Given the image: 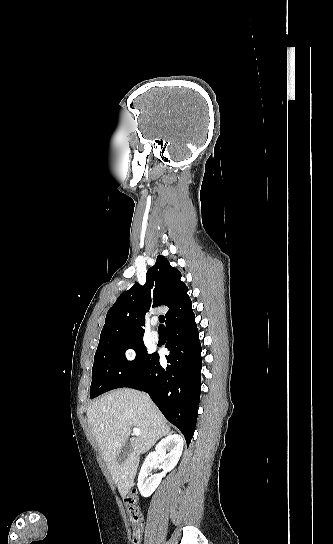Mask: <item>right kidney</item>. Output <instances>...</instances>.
<instances>
[{"mask_svg": "<svg viewBox=\"0 0 333 544\" xmlns=\"http://www.w3.org/2000/svg\"><path fill=\"white\" fill-rule=\"evenodd\" d=\"M182 451L183 439L178 434L169 435L156 445L155 451L146 457L138 476L137 485L143 497H149L156 490L166 473L177 465ZM157 463H161L163 471L149 476Z\"/></svg>", "mask_w": 333, "mask_h": 544, "instance_id": "1", "label": "right kidney"}]
</instances>
